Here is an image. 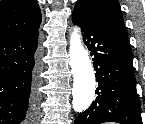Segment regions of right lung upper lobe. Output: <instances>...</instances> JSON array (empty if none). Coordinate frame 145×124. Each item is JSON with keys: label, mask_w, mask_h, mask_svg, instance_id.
<instances>
[{"label": "right lung upper lobe", "mask_w": 145, "mask_h": 124, "mask_svg": "<svg viewBox=\"0 0 145 124\" xmlns=\"http://www.w3.org/2000/svg\"><path fill=\"white\" fill-rule=\"evenodd\" d=\"M41 12L36 0L0 1V38L15 37L38 30Z\"/></svg>", "instance_id": "1"}]
</instances>
